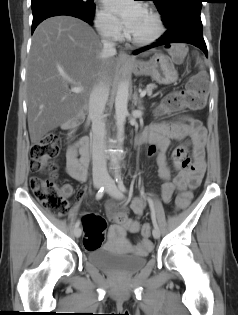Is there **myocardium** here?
<instances>
[{"instance_id": "obj_1", "label": "myocardium", "mask_w": 238, "mask_h": 315, "mask_svg": "<svg viewBox=\"0 0 238 315\" xmlns=\"http://www.w3.org/2000/svg\"><path fill=\"white\" fill-rule=\"evenodd\" d=\"M146 12H148L151 17L153 18L154 22H155V31L154 33L146 38H136L133 37L129 31L126 32V38L129 42H131L134 45L137 46H146V45H150L152 43H154L155 41H157L162 34L164 33V25H163V21L161 19V16L159 15L158 12H156L155 10L151 9V8H146L145 9Z\"/></svg>"}]
</instances>
